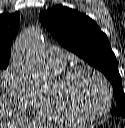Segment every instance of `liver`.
Here are the masks:
<instances>
[{
    "label": "liver",
    "mask_w": 125,
    "mask_h": 128,
    "mask_svg": "<svg viewBox=\"0 0 125 128\" xmlns=\"http://www.w3.org/2000/svg\"><path fill=\"white\" fill-rule=\"evenodd\" d=\"M10 103L9 89L6 83L0 78V128H12L15 125L12 121Z\"/></svg>",
    "instance_id": "1"
}]
</instances>
